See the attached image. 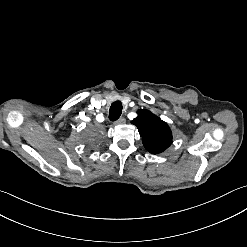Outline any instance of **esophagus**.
Listing matches in <instances>:
<instances>
[{
    "label": "esophagus",
    "mask_w": 247,
    "mask_h": 247,
    "mask_svg": "<svg viewBox=\"0 0 247 247\" xmlns=\"http://www.w3.org/2000/svg\"><path fill=\"white\" fill-rule=\"evenodd\" d=\"M126 122V119L124 117L119 118L118 120H116L115 124L116 125H122Z\"/></svg>",
    "instance_id": "1"
}]
</instances>
